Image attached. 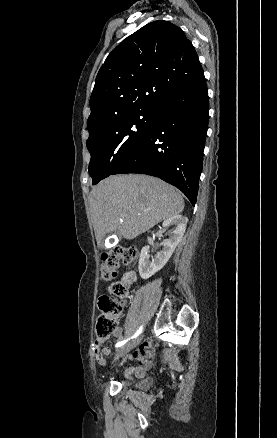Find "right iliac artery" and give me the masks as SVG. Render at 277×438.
Segmentation results:
<instances>
[{"mask_svg":"<svg viewBox=\"0 0 277 438\" xmlns=\"http://www.w3.org/2000/svg\"><path fill=\"white\" fill-rule=\"evenodd\" d=\"M141 331H142V326L137 330V332H136L131 338H128V339H126V340H123V341L118 342V343L116 344V347L123 346V345H124L126 342H128L130 339L136 338L137 336H139V334L141 333Z\"/></svg>","mask_w":277,"mask_h":438,"instance_id":"1","label":"right iliac artery"}]
</instances>
